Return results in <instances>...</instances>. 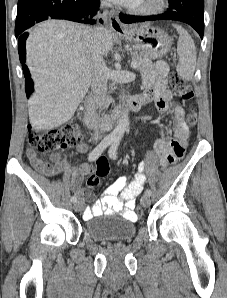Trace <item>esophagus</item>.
<instances>
[{"mask_svg": "<svg viewBox=\"0 0 227 298\" xmlns=\"http://www.w3.org/2000/svg\"><path fill=\"white\" fill-rule=\"evenodd\" d=\"M107 21L109 24V27L115 31V32H123L125 30L124 26L119 20L118 14L111 10L107 16Z\"/></svg>", "mask_w": 227, "mask_h": 298, "instance_id": "1", "label": "esophagus"}]
</instances>
